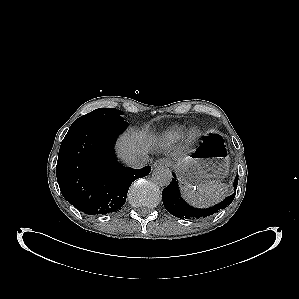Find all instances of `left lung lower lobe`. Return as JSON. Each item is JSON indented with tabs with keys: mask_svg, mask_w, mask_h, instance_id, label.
Listing matches in <instances>:
<instances>
[{
	"mask_svg": "<svg viewBox=\"0 0 299 299\" xmlns=\"http://www.w3.org/2000/svg\"><path fill=\"white\" fill-rule=\"evenodd\" d=\"M172 182L162 191V200L165 209L175 217L180 219H199L208 217L219 210H222L229 206L233 201L236 191L224 199L219 204L206 208V209H197L187 205L179 194L178 182L175 175L173 174ZM238 185V175L234 181V188L236 189Z\"/></svg>",
	"mask_w": 299,
	"mask_h": 299,
	"instance_id": "1",
	"label": "left lung lower lobe"
}]
</instances>
